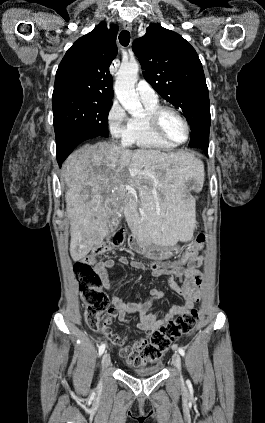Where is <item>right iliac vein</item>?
<instances>
[{"label":"right iliac vein","instance_id":"63e3f726","mask_svg":"<svg viewBox=\"0 0 265 423\" xmlns=\"http://www.w3.org/2000/svg\"><path fill=\"white\" fill-rule=\"evenodd\" d=\"M110 362H111L110 355L109 353L105 352L102 357V369L106 370L109 367Z\"/></svg>","mask_w":265,"mask_h":423}]
</instances>
